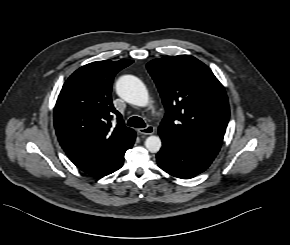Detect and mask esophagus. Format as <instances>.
<instances>
[{"label":"esophagus","mask_w":290,"mask_h":245,"mask_svg":"<svg viewBox=\"0 0 290 245\" xmlns=\"http://www.w3.org/2000/svg\"><path fill=\"white\" fill-rule=\"evenodd\" d=\"M138 132L143 135H152L155 132V128L152 125H148L145 128H140Z\"/></svg>","instance_id":"obj_1"}]
</instances>
